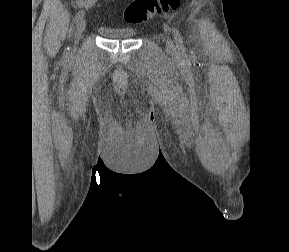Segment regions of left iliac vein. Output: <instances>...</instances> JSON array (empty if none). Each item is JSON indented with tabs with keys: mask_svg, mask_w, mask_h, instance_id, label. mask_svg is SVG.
Instances as JSON below:
<instances>
[{
	"mask_svg": "<svg viewBox=\"0 0 289 252\" xmlns=\"http://www.w3.org/2000/svg\"><path fill=\"white\" fill-rule=\"evenodd\" d=\"M166 46H167V50L170 52H173L175 50L174 43L169 37H167L166 39Z\"/></svg>",
	"mask_w": 289,
	"mask_h": 252,
	"instance_id": "left-iliac-vein-1",
	"label": "left iliac vein"
}]
</instances>
